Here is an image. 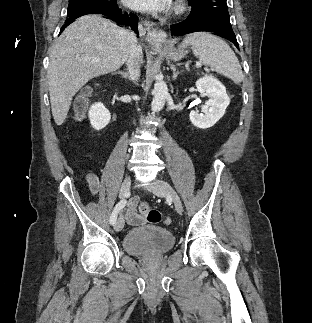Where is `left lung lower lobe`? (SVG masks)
Instances as JSON below:
<instances>
[{"label":"left lung lower lobe","mask_w":312,"mask_h":323,"mask_svg":"<svg viewBox=\"0 0 312 323\" xmlns=\"http://www.w3.org/2000/svg\"><path fill=\"white\" fill-rule=\"evenodd\" d=\"M216 9V11H210ZM223 6L218 4L206 9V12L195 19H185L184 21L171 25L172 36H182L194 32H212L217 36L225 38L235 43L239 49L236 36L230 24L228 11H223Z\"/></svg>","instance_id":"0a47b994"}]
</instances>
